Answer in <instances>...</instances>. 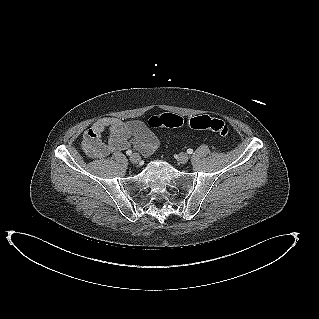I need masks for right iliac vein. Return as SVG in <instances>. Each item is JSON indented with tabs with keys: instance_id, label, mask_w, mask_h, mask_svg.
<instances>
[{
	"instance_id": "obj_1",
	"label": "right iliac vein",
	"mask_w": 319,
	"mask_h": 319,
	"mask_svg": "<svg viewBox=\"0 0 319 319\" xmlns=\"http://www.w3.org/2000/svg\"><path fill=\"white\" fill-rule=\"evenodd\" d=\"M140 155L137 154V153H133L131 156H130V161L133 163V164H138L140 162Z\"/></svg>"
}]
</instances>
